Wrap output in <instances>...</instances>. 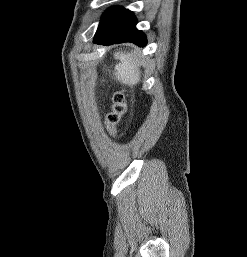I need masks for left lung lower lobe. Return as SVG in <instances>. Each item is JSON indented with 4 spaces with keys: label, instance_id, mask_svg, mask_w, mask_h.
<instances>
[{
    "label": "left lung lower lobe",
    "instance_id": "0a47b994",
    "mask_svg": "<svg viewBox=\"0 0 247 257\" xmlns=\"http://www.w3.org/2000/svg\"><path fill=\"white\" fill-rule=\"evenodd\" d=\"M135 15L119 6H114L105 11L94 37V43L113 44L132 42L143 47L147 40L144 33L137 30Z\"/></svg>",
    "mask_w": 247,
    "mask_h": 257
}]
</instances>
